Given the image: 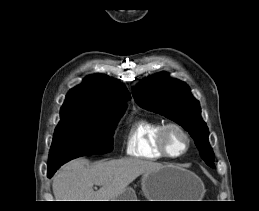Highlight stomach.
I'll return each instance as SVG.
<instances>
[{
  "label": "stomach",
  "instance_id": "stomach-1",
  "mask_svg": "<svg viewBox=\"0 0 259 211\" xmlns=\"http://www.w3.org/2000/svg\"><path fill=\"white\" fill-rule=\"evenodd\" d=\"M141 185L148 201H194L203 187L194 173L171 165L144 173ZM114 201H137L136 194L127 187Z\"/></svg>",
  "mask_w": 259,
  "mask_h": 211
}]
</instances>
